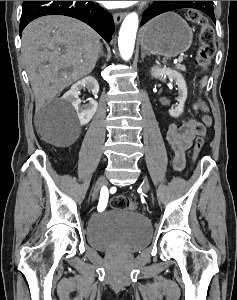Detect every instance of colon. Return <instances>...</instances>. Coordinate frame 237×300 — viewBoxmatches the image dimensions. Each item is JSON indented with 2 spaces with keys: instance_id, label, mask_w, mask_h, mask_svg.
Listing matches in <instances>:
<instances>
[{
  "instance_id": "obj_1",
  "label": "colon",
  "mask_w": 237,
  "mask_h": 300,
  "mask_svg": "<svg viewBox=\"0 0 237 300\" xmlns=\"http://www.w3.org/2000/svg\"><path fill=\"white\" fill-rule=\"evenodd\" d=\"M188 18L191 22L201 26L200 46L197 49L195 64L204 71L207 69L215 55L216 46L214 33L207 19L198 10H190L188 12ZM198 106L201 111L205 110L201 99L198 100ZM203 145L204 138L198 137L194 147V159L198 157ZM110 205L112 208L117 210H134L136 208V203L134 201L122 195L113 196L110 199Z\"/></svg>"
}]
</instances>
